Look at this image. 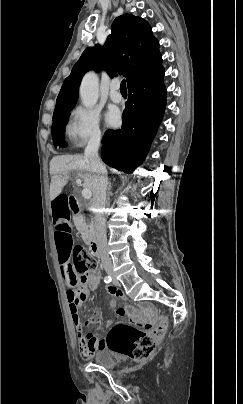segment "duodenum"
I'll return each mask as SVG.
<instances>
[{"label":"duodenum","mask_w":243,"mask_h":404,"mask_svg":"<svg viewBox=\"0 0 243 404\" xmlns=\"http://www.w3.org/2000/svg\"><path fill=\"white\" fill-rule=\"evenodd\" d=\"M69 203H70V209L74 213H78L80 210V203H79L78 199L74 196H70ZM90 249L96 259L101 258V250H100L99 244L96 240H92L90 242Z\"/></svg>","instance_id":"410a0bca"}]
</instances>
